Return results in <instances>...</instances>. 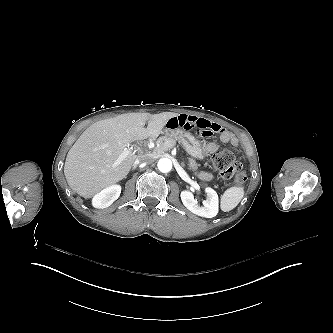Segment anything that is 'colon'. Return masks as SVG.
Returning <instances> with one entry per match:
<instances>
[{"label": "colon", "instance_id": "colon-1", "mask_svg": "<svg viewBox=\"0 0 333 333\" xmlns=\"http://www.w3.org/2000/svg\"><path fill=\"white\" fill-rule=\"evenodd\" d=\"M211 165L216 170L218 177L227 185H241L245 180L243 165L235 160V155L230 149L216 151L212 155Z\"/></svg>", "mask_w": 333, "mask_h": 333}]
</instances>
